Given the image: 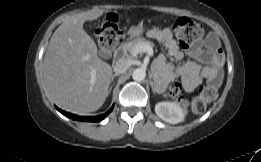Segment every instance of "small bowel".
Masks as SVG:
<instances>
[{"label": "small bowel", "instance_id": "small-bowel-1", "mask_svg": "<svg viewBox=\"0 0 261 162\" xmlns=\"http://www.w3.org/2000/svg\"><path fill=\"white\" fill-rule=\"evenodd\" d=\"M150 36L162 44L168 53L177 60L183 58L170 29L153 30ZM188 53L198 62L187 61L179 67H173L166 62L164 55L156 59V67L161 76L169 81L180 77L187 92L193 91L204 79L210 84L219 86L222 81L221 67L224 64V52L215 35L210 34L204 40H198L189 48Z\"/></svg>", "mask_w": 261, "mask_h": 162}]
</instances>
